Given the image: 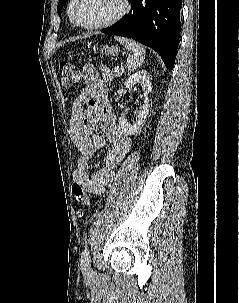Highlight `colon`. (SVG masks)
<instances>
[{
	"label": "colon",
	"mask_w": 239,
	"mask_h": 303,
	"mask_svg": "<svg viewBox=\"0 0 239 303\" xmlns=\"http://www.w3.org/2000/svg\"><path fill=\"white\" fill-rule=\"evenodd\" d=\"M60 73L62 78V83L64 86H73L80 82L81 74L76 65L72 62L65 61L60 65ZM72 197L73 200L78 204H83L85 206L90 205V200L85 195L83 188L75 184L72 186ZM82 216V212H78Z\"/></svg>",
	"instance_id": "5ec220e1"
}]
</instances>
